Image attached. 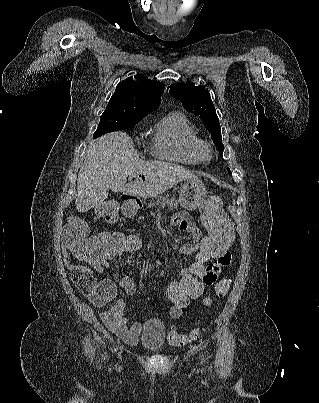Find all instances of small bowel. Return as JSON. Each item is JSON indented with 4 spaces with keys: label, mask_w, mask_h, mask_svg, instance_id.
Returning a JSON list of instances; mask_svg holds the SVG:
<instances>
[{
    "label": "small bowel",
    "mask_w": 319,
    "mask_h": 403,
    "mask_svg": "<svg viewBox=\"0 0 319 403\" xmlns=\"http://www.w3.org/2000/svg\"><path fill=\"white\" fill-rule=\"evenodd\" d=\"M171 223L172 225L177 226L181 231L189 233L191 236L190 243L180 246L179 254L193 255L194 258H197L199 242H202V238H205L201 230L186 213H176L171 218ZM70 252H72L70 248H64L63 257L65 266L72 271H91L90 268H92L98 273H103V271L108 267L109 261L112 259L100 258L99 255L97 258L85 259L84 261L88 266L73 264L68 260ZM231 255L232 252L229 249L220 252L218 255V261L208 267V271L203 272L202 277L205 286L214 285L220 271H223L229 263ZM180 275H188V268L182 269ZM112 280L116 285H112L111 279H95L94 285L91 286V291L89 292V299L94 300L97 309H104L105 305H111L113 300H116L112 306L102 311L101 318L108 328L109 335H116L127 344H135L143 333V327L139 323H134L132 325L128 324V319L125 316L126 303L122 298L117 299L118 286L128 295H134L136 293L133 271H130L123 277L112 276ZM175 282H179V280ZM165 297L169 301V291H165ZM198 300H201L202 303L207 306L212 303L209 297L198 296ZM198 300H191V302ZM181 314L182 313H170L172 318H178Z\"/></svg>",
    "instance_id": "c3829d8e"
}]
</instances>
